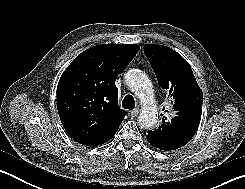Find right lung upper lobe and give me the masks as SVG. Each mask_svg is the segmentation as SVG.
I'll return each instance as SVG.
<instances>
[{"label":"right lung upper lobe","mask_w":245,"mask_h":189,"mask_svg":"<svg viewBox=\"0 0 245 189\" xmlns=\"http://www.w3.org/2000/svg\"><path fill=\"white\" fill-rule=\"evenodd\" d=\"M135 44H104L77 56L57 86V108L68 134L96 146L117 132L126 111L118 105L116 78L139 51Z\"/></svg>","instance_id":"1"}]
</instances>
